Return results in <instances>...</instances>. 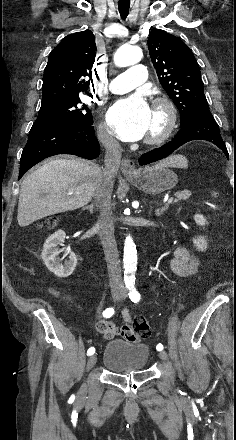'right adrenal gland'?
I'll return each mask as SVG.
<instances>
[{"label":"right adrenal gland","mask_w":236,"mask_h":440,"mask_svg":"<svg viewBox=\"0 0 236 440\" xmlns=\"http://www.w3.org/2000/svg\"><path fill=\"white\" fill-rule=\"evenodd\" d=\"M84 209H88L90 211V213L92 214L94 212V207L93 205L87 206Z\"/></svg>","instance_id":"1"}]
</instances>
